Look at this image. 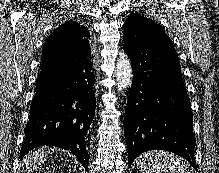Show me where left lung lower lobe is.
I'll return each instance as SVG.
<instances>
[{"label": "left lung lower lobe", "mask_w": 219, "mask_h": 173, "mask_svg": "<svg viewBox=\"0 0 219 173\" xmlns=\"http://www.w3.org/2000/svg\"><path fill=\"white\" fill-rule=\"evenodd\" d=\"M124 51L135 74L124 116L129 166L141 153L160 149L197 170L190 99L174 46L124 40Z\"/></svg>", "instance_id": "obj_1"}]
</instances>
